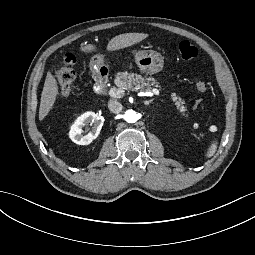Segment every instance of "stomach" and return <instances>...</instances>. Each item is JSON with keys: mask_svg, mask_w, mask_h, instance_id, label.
I'll use <instances>...</instances> for the list:
<instances>
[{"mask_svg": "<svg viewBox=\"0 0 255 255\" xmlns=\"http://www.w3.org/2000/svg\"><path fill=\"white\" fill-rule=\"evenodd\" d=\"M135 59L141 71L147 75L157 74L164 68L163 56L153 51L138 52ZM101 66H103L102 57L94 56L90 62L91 71L98 72Z\"/></svg>", "mask_w": 255, "mask_h": 255, "instance_id": "0dacf381", "label": "stomach"}]
</instances>
